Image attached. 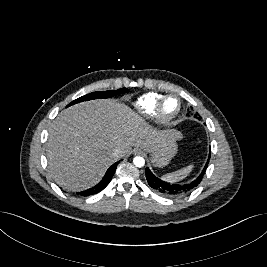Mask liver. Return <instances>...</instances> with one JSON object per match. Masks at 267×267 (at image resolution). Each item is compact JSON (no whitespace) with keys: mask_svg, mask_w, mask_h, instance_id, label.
<instances>
[{"mask_svg":"<svg viewBox=\"0 0 267 267\" xmlns=\"http://www.w3.org/2000/svg\"><path fill=\"white\" fill-rule=\"evenodd\" d=\"M170 133L157 130L115 100L79 103L63 110L49 129V171L62 188L81 191L98 183L107 168L128 156L132 147L156 149ZM115 148L122 150L121 155L114 156Z\"/></svg>","mask_w":267,"mask_h":267,"instance_id":"obj_1","label":"liver"}]
</instances>
